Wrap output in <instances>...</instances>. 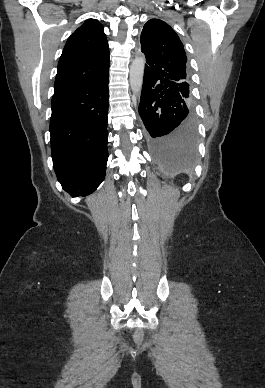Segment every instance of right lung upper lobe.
Instances as JSON below:
<instances>
[{"mask_svg": "<svg viewBox=\"0 0 265 388\" xmlns=\"http://www.w3.org/2000/svg\"><path fill=\"white\" fill-rule=\"evenodd\" d=\"M109 64L103 26L88 19L66 42L58 63L54 91L98 80L108 74Z\"/></svg>", "mask_w": 265, "mask_h": 388, "instance_id": "right-lung-upper-lobe-1", "label": "right lung upper lobe"}]
</instances>
